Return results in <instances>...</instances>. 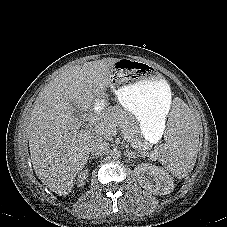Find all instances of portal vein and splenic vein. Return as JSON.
<instances>
[{"instance_id": "18ae733b", "label": "portal vein and splenic vein", "mask_w": 227, "mask_h": 227, "mask_svg": "<svg viewBox=\"0 0 227 227\" xmlns=\"http://www.w3.org/2000/svg\"><path fill=\"white\" fill-rule=\"evenodd\" d=\"M95 132H96L97 134H99V135H104V136H106V137L111 135L109 129L104 128V127H102V126H96V127H95ZM133 147H135V146H133Z\"/></svg>"}]
</instances>
